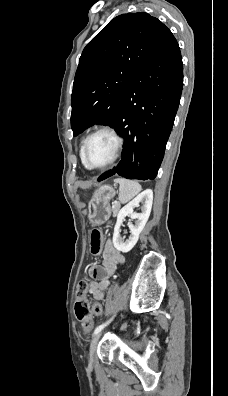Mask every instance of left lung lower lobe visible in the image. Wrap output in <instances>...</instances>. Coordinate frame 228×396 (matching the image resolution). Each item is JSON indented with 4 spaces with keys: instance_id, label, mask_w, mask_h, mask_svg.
<instances>
[{
    "instance_id": "obj_1",
    "label": "left lung lower lobe",
    "mask_w": 228,
    "mask_h": 396,
    "mask_svg": "<svg viewBox=\"0 0 228 396\" xmlns=\"http://www.w3.org/2000/svg\"><path fill=\"white\" fill-rule=\"evenodd\" d=\"M183 87L179 45L165 26L133 79L112 128L125 140L122 159L98 178L155 179Z\"/></svg>"
}]
</instances>
